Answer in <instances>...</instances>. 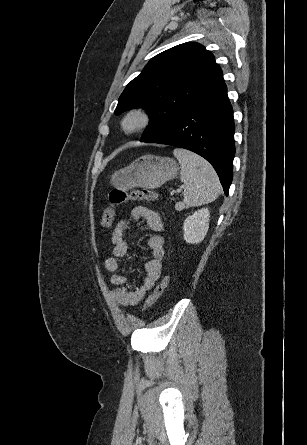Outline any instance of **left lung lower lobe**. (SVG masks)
<instances>
[{"instance_id":"0a47b994","label":"left lung lower lobe","mask_w":307,"mask_h":445,"mask_svg":"<svg viewBox=\"0 0 307 445\" xmlns=\"http://www.w3.org/2000/svg\"><path fill=\"white\" fill-rule=\"evenodd\" d=\"M234 130L233 110L223 82L143 142L185 148L204 157L215 168L228 195L235 154Z\"/></svg>"}]
</instances>
